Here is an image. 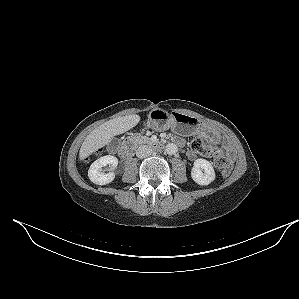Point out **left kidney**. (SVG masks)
Returning <instances> with one entry per match:
<instances>
[{
  "label": "left kidney",
  "mask_w": 299,
  "mask_h": 299,
  "mask_svg": "<svg viewBox=\"0 0 299 299\" xmlns=\"http://www.w3.org/2000/svg\"><path fill=\"white\" fill-rule=\"evenodd\" d=\"M191 177L199 185H209L215 180V171L209 161L199 158L193 164Z\"/></svg>",
  "instance_id": "1"
}]
</instances>
